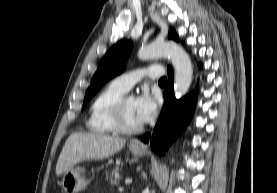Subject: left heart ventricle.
Here are the masks:
<instances>
[{
    "label": "left heart ventricle",
    "instance_id": "b2bd125f",
    "mask_svg": "<svg viewBox=\"0 0 277 193\" xmlns=\"http://www.w3.org/2000/svg\"><path fill=\"white\" fill-rule=\"evenodd\" d=\"M135 99L133 98H126L124 102V115L125 120L128 125L136 126L141 124L140 121L137 119L135 114Z\"/></svg>",
    "mask_w": 277,
    "mask_h": 193
}]
</instances>
